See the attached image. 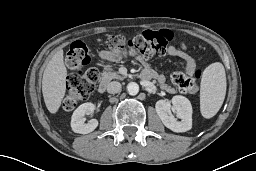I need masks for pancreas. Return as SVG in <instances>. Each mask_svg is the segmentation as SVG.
Wrapping results in <instances>:
<instances>
[{"label": "pancreas", "instance_id": "obj_1", "mask_svg": "<svg viewBox=\"0 0 256 171\" xmlns=\"http://www.w3.org/2000/svg\"><path fill=\"white\" fill-rule=\"evenodd\" d=\"M125 77L118 75L116 72L112 71L111 68H105L102 73V82H109L112 79L123 80Z\"/></svg>", "mask_w": 256, "mask_h": 171}]
</instances>
